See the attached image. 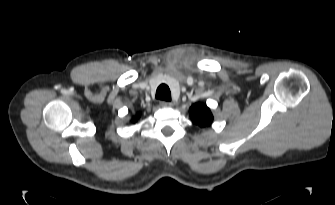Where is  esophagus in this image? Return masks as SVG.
<instances>
[{"mask_svg":"<svg viewBox=\"0 0 335 205\" xmlns=\"http://www.w3.org/2000/svg\"><path fill=\"white\" fill-rule=\"evenodd\" d=\"M160 106H161V107H165V108H167V107H171V106H172V103L169 102V101H161V102H160Z\"/></svg>","mask_w":335,"mask_h":205,"instance_id":"1","label":"esophagus"}]
</instances>
